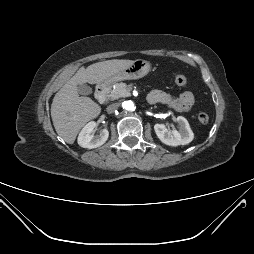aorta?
I'll list each match as a JSON object with an SVG mask.
<instances>
[{"label":"aorta","mask_w":254,"mask_h":254,"mask_svg":"<svg viewBox=\"0 0 254 254\" xmlns=\"http://www.w3.org/2000/svg\"><path fill=\"white\" fill-rule=\"evenodd\" d=\"M123 108L128 111L134 110V103L132 101H125L123 103Z\"/></svg>","instance_id":"obj_1"}]
</instances>
